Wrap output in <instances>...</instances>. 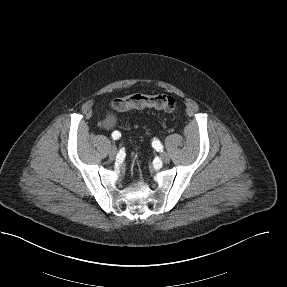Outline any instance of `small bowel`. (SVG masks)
Returning a JSON list of instances; mask_svg holds the SVG:
<instances>
[{
	"label": "small bowel",
	"mask_w": 287,
	"mask_h": 287,
	"mask_svg": "<svg viewBox=\"0 0 287 287\" xmlns=\"http://www.w3.org/2000/svg\"><path fill=\"white\" fill-rule=\"evenodd\" d=\"M117 123V118L113 113H109L102 121V127L105 129H113ZM115 132V131H114Z\"/></svg>",
	"instance_id": "small-bowel-1"
}]
</instances>
